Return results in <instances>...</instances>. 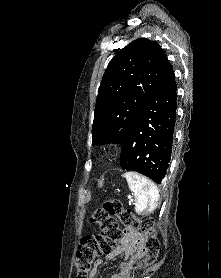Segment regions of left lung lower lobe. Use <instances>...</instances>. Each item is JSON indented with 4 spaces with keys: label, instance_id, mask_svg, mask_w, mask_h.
<instances>
[{
    "label": "left lung lower lobe",
    "instance_id": "left-lung-lower-lobe-1",
    "mask_svg": "<svg viewBox=\"0 0 221 278\" xmlns=\"http://www.w3.org/2000/svg\"><path fill=\"white\" fill-rule=\"evenodd\" d=\"M176 90L174 71L168 63L122 143L120 164L123 170L142 173L156 183H161L172 152Z\"/></svg>",
    "mask_w": 221,
    "mask_h": 278
}]
</instances>
